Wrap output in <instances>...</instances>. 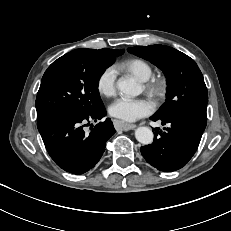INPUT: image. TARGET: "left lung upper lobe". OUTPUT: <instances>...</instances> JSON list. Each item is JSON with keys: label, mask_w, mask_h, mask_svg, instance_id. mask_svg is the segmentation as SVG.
<instances>
[{"label": "left lung upper lobe", "mask_w": 231, "mask_h": 231, "mask_svg": "<svg viewBox=\"0 0 231 231\" xmlns=\"http://www.w3.org/2000/svg\"><path fill=\"white\" fill-rule=\"evenodd\" d=\"M127 50L150 61L165 73L168 85L166 102L154 115L185 114L207 120V88L193 59L172 47L159 44Z\"/></svg>", "instance_id": "1"}]
</instances>
